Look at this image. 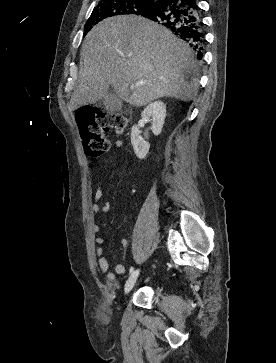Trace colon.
Returning <instances> with one entry per match:
<instances>
[{"label": "colon", "instance_id": "colon-1", "mask_svg": "<svg viewBox=\"0 0 276 363\" xmlns=\"http://www.w3.org/2000/svg\"><path fill=\"white\" fill-rule=\"evenodd\" d=\"M76 121L81 131L85 152L91 157H99L109 148L108 132L121 133L126 118L117 113L102 112L96 109H80Z\"/></svg>", "mask_w": 276, "mask_h": 363}]
</instances>
